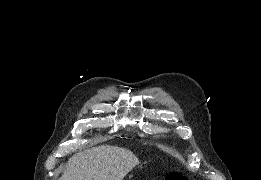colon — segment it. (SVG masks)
<instances>
[{"mask_svg":"<svg viewBox=\"0 0 261 180\" xmlns=\"http://www.w3.org/2000/svg\"><path fill=\"white\" fill-rule=\"evenodd\" d=\"M166 180H189V176L180 172H170L167 174Z\"/></svg>","mask_w":261,"mask_h":180,"instance_id":"5ec220e1","label":"colon"}]
</instances>
